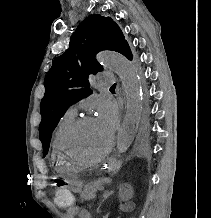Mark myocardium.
Masks as SVG:
<instances>
[{
  "label": "myocardium",
  "mask_w": 211,
  "mask_h": 218,
  "mask_svg": "<svg viewBox=\"0 0 211 218\" xmlns=\"http://www.w3.org/2000/svg\"><path fill=\"white\" fill-rule=\"evenodd\" d=\"M92 119H94V117L92 115H85V116L77 118L71 124V126L68 128V130L65 134V138H64V145H65V149H66L65 154L75 164L91 165V164H94L96 162H99V161L103 160L105 157H107L112 152V150L115 146L116 138L114 135H112V140H111L110 145L101 153H99L95 156H92V157H87V158H79V157H75L72 155L71 149H72V140H73L74 134L84 123H86Z\"/></svg>",
  "instance_id": "1"
}]
</instances>
